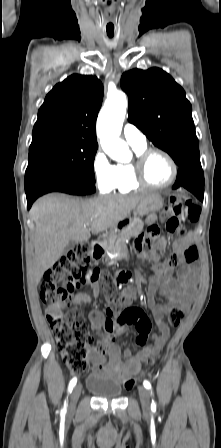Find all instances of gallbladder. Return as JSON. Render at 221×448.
<instances>
[{
  "label": "gallbladder",
  "instance_id": "bac80fb5",
  "mask_svg": "<svg viewBox=\"0 0 221 448\" xmlns=\"http://www.w3.org/2000/svg\"><path fill=\"white\" fill-rule=\"evenodd\" d=\"M75 245L74 241H70L67 246L65 247L63 254H66L68 251H70Z\"/></svg>",
  "mask_w": 221,
  "mask_h": 448
}]
</instances>
